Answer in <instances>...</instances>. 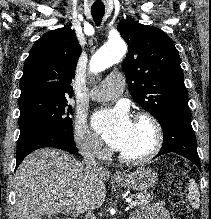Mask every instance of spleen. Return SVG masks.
<instances>
[{"label":"spleen","instance_id":"3e777b00","mask_svg":"<svg viewBox=\"0 0 211 219\" xmlns=\"http://www.w3.org/2000/svg\"><path fill=\"white\" fill-rule=\"evenodd\" d=\"M189 202L194 209H198L200 206V193L198 190V186L194 179L190 180L189 184V194H188Z\"/></svg>","mask_w":211,"mask_h":219}]
</instances>
